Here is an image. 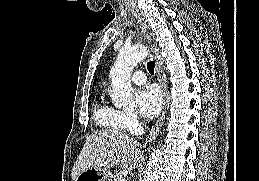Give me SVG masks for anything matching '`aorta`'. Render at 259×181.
I'll return each instance as SVG.
<instances>
[{
	"instance_id": "aorta-1",
	"label": "aorta",
	"mask_w": 259,
	"mask_h": 181,
	"mask_svg": "<svg viewBox=\"0 0 259 181\" xmlns=\"http://www.w3.org/2000/svg\"><path fill=\"white\" fill-rule=\"evenodd\" d=\"M144 45L122 47L118 53L116 62L110 70L112 84V103L119 108L133 109L135 101L131 85V73L134 67L147 56ZM163 152L160 147L153 150L149 159L146 177L144 181H158L163 163Z\"/></svg>"
}]
</instances>
